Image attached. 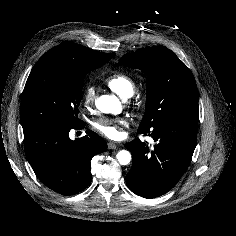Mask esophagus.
Segmentation results:
<instances>
[{
    "label": "esophagus",
    "instance_id": "esophagus-1",
    "mask_svg": "<svg viewBox=\"0 0 236 236\" xmlns=\"http://www.w3.org/2000/svg\"><path fill=\"white\" fill-rule=\"evenodd\" d=\"M116 144L114 142H109L108 143V149H116Z\"/></svg>",
    "mask_w": 236,
    "mask_h": 236
}]
</instances>
